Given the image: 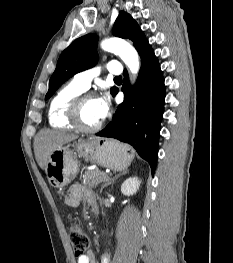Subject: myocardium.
<instances>
[{
	"label": "myocardium",
	"instance_id": "obj_1",
	"mask_svg": "<svg viewBox=\"0 0 233 263\" xmlns=\"http://www.w3.org/2000/svg\"><path fill=\"white\" fill-rule=\"evenodd\" d=\"M89 98H95V95L92 92L83 91L75 96L69 104L67 116L69 121L76 129L86 133H93L99 131L102 128L103 122L100 121L97 125L92 127L85 126L82 123L81 110L85 101Z\"/></svg>",
	"mask_w": 233,
	"mask_h": 263
}]
</instances>
